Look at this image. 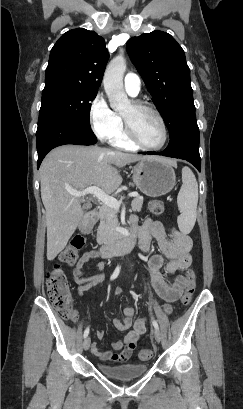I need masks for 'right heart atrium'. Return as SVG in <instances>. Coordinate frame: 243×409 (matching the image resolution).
<instances>
[{
  "mask_svg": "<svg viewBox=\"0 0 243 409\" xmlns=\"http://www.w3.org/2000/svg\"><path fill=\"white\" fill-rule=\"evenodd\" d=\"M88 120L95 135L102 140L113 141L122 131L120 117L110 108L101 93L90 103Z\"/></svg>",
  "mask_w": 243,
  "mask_h": 409,
  "instance_id": "obj_1",
  "label": "right heart atrium"
}]
</instances>
